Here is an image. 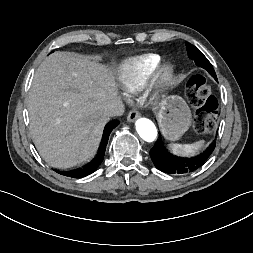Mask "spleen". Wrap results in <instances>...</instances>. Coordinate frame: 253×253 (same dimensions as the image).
I'll return each instance as SVG.
<instances>
[{
	"label": "spleen",
	"mask_w": 253,
	"mask_h": 253,
	"mask_svg": "<svg viewBox=\"0 0 253 253\" xmlns=\"http://www.w3.org/2000/svg\"><path fill=\"white\" fill-rule=\"evenodd\" d=\"M204 144L203 140L195 142L193 144H173L172 150L175 154L193 155L197 152Z\"/></svg>",
	"instance_id": "obj_1"
}]
</instances>
